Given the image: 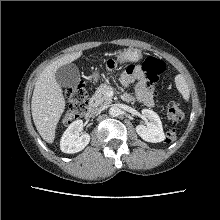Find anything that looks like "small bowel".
I'll return each instance as SVG.
<instances>
[{"instance_id": "obj_1", "label": "small bowel", "mask_w": 220, "mask_h": 220, "mask_svg": "<svg viewBox=\"0 0 220 220\" xmlns=\"http://www.w3.org/2000/svg\"><path fill=\"white\" fill-rule=\"evenodd\" d=\"M134 81H137L135 87V95L130 93L124 94V99L126 101H133L137 99L147 106H152L154 104L153 99V89L148 84L147 80L144 77L142 70L139 67L129 66L120 76V82L124 86L132 84Z\"/></svg>"}]
</instances>
